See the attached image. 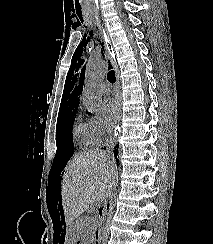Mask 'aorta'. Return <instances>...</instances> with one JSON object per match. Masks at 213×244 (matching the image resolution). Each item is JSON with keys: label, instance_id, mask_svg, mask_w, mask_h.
I'll use <instances>...</instances> for the list:
<instances>
[{"label": "aorta", "instance_id": "762f6f07", "mask_svg": "<svg viewBox=\"0 0 213 244\" xmlns=\"http://www.w3.org/2000/svg\"><path fill=\"white\" fill-rule=\"evenodd\" d=\"M107 70L108 65L102 59L92 60L86 68L82 99L92 113H98L102 108V93L98 83L104 79Z\"/></svg>", "mask_w": 213, "mask_h": 244}]
</instances>
